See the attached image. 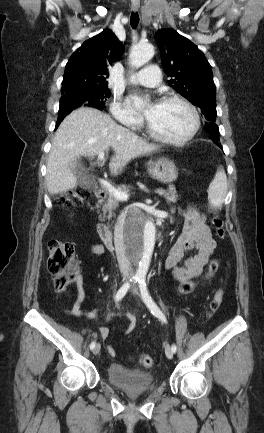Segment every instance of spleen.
I'll return each mask as SVG.
<instances>
[{
    "label": "spleen",
    "mask_w": 264,
    "mask_h": 433,
    "mask_svg": "<svg viewBox=\"0 0 264 433\" xmlns=\"http://www.w3.org/2000/svg\"><path fill=\"white\" fill-rule=\"evenodd\" d=\"M227 188L228 183L226 173L223 168H220L208 188V199L213 207L217 209L222 208V204L224 203L227 194Z\"/></svg>",
    "instance_id": "spleen-1"
}]
</instances>
